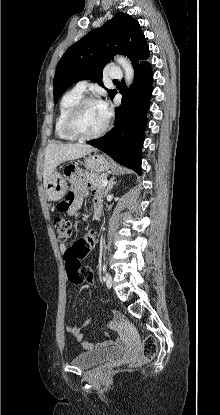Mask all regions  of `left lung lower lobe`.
<instances>
[{
	"label": "left lung lower lobe",
	"mask_w": 220,
	"mask_h": 415,
	"mask_svg": "<svg viewBox=\"0 0 220 415\" xmlns=\"http://www.w3.org/2000/svg\"><path fill=\"white\" fill-rule=\"evenodd\" d=\"M133 68L134 81L131 88L127 90L123 86L120 90L123 98L121 105L115 108L116 119L113 130L87 143L141 175V148L147 125L153 72L146 61L134 65ZM116 93L113 92L111 99Z\"/></svg>",
	"instance_id": "1"
}]
</instances>
